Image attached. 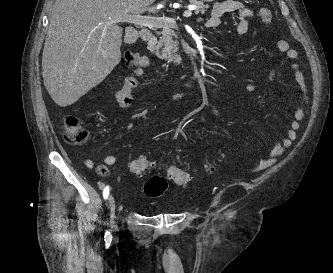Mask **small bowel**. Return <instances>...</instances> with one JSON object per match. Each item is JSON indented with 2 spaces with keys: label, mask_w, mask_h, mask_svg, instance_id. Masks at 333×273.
<instances>
[{
  "label": "small bowel",
  "mask_w": 333,
  "mask_h": 273,
  "mask_svg": "<svg viewBox=\"0 0 333 273\" xmlns=\"http://www.w3.org/2000/svg\"><path fill=\"white\" fill-rule=\"evenodd\" d=\"M233 12L237 15V23L235 25V32L238 35H247L250 31L249 20L255 16V12L246 7L239 0H222L214 4L211 17L207 22V27L216 28L221 23V18L227 14ZM277 49L285 54L289 59H297L298 52L292 49L289 43L285 40H279L277 42ZM148 60L147 58H144ZM149 62H139L137 66H135L134 71H132V76L141 77L142 73H144L145 69H149ZM293 77L298 85V93H297V106L295 108L293 118L290 123V127L286 133V136L281 140L275 142L273 147L270 149L268 154L261 159L258 164V169H264L272 164H274L280 156L284 154L287 148H289L297 137V130L300 128L301 121L305 116L304 105L307 102L306 88L304 83V75L301 71L300 67L297 64L292 65ZM276 75L274 69H271L267 73L264 74H255V77L260 81H270L273 80ZM127 77L124 84H121L118 89L115 97L118 104L121 107H130L132 105L133 99L131 95V91H137V80L134 77ZM242 88L247 92L257 91V87L251 83L242 84ZM193 94L192 91L185 92H177L171 96V99L174 101L183 100ZM210 112L215 118H220V112L216 108L215 105L210 106ZM116 156L114 154L107 155L103 163L104 165L111 166L116 162ZM138 159H146V158H138ZM84 164L87 167L93 166V160L85 157ZM152 164V163H151ZM141 176V175H136Z\"/></svg>",
  "instance_id": "c3829d8e"
}]
</instances>
